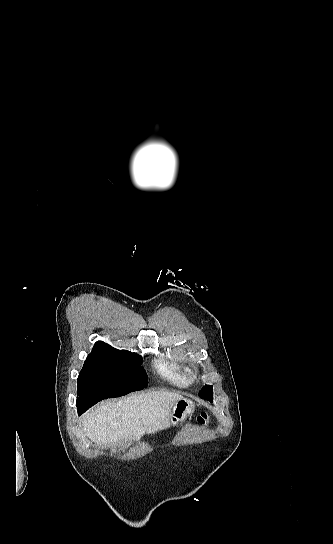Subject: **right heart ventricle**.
Masks as SVG:
<instances>
[{"instance_id": "obj_1", "label": "right heart ventricle", "mask_w": 333, "mask_h": 544, "mask_svg": "<svg viewBox=\"0 0 333 544\" xmlns=\"http://www.w3.org/2000/svg\"><path fill=\"white\" fill-rule=\"evenodd\" d=\"M156 368L163 378L177 386H187L191 382L188 366L178 359L160 360Z\"/></svg>"}]
</instances>
